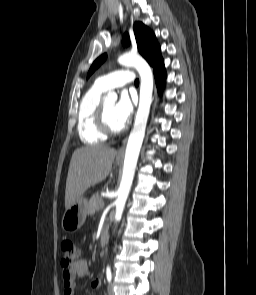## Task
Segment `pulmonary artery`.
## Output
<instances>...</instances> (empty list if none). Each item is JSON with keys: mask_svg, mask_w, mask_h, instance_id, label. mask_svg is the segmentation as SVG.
Listing matches in <instances>:
<instances>
[{"mask_svg": "<svg viewBox=\"0 0 256 295\" xmlns=\"http://www.w3.org/2000/svg\"><path fill=\"white\" fill-rule=\"evenodd\" d=\"M133 81L134 74L131 71L120 69L99 77L95 84L104 91H108L114 88L122 87Z\"/></svg>", "mask_w": 256, "mask_h": 295, "instance_id": "e3ab8cb5", "label": "pulmonary artery"}]
</instances>
